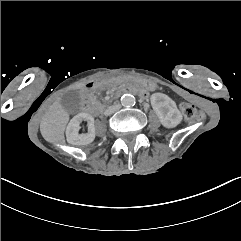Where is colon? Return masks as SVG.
Here are the masks:
<instances>
[{
	"instance_id": "1",
	"label": "colon",
	"mask_w": 241,
	"mask_h": 241,
	"mask_svg": "<svg viewBox=\"0 0 241 241\" xmlns=\"http://www.w3.org/2000/svg\"><path fill=\"white\" fill-rule=\"evenodd\" d=\"M180 109L182 111V114L184 115V117L191 121V122H195L198 120L199 118V112L196 109V107L191 104V103H187V102H183L180 105Z\"/></svg>"
}]
</instances>
